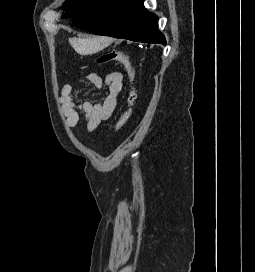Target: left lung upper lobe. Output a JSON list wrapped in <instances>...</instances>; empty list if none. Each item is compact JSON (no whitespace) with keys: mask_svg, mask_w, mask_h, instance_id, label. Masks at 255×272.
<instances>
[{"mask_svg":"<svg viewBox=\"0 0 255 272\" xmlns=\"http://www.w3.org/2000/svg\"><path fill=\"white\" fill-rule=\"evenodd\" d=\"M89 2L90 0H67L66 4L67 11L63 17L67 18L73 16L76 12L81 10Z\"/></svg>","mask_w":255,"mask_h":272,"instance_id":"1","label":"left lung upper lobe"}]
</instances>
